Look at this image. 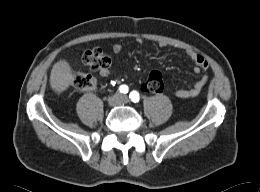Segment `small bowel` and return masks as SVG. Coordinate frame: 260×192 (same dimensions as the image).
<instances>
[{"label": "small bowel", "mask_w": 260, "mask_h": 192, "mask_svg": "<svg viewBox=\"0 0 260 192\" xmlns=\"http://www.w3.org/2000/svg\"><path fill=\"white\" fill-rule=\"evenodd\" d=\"M138 43L141 44L142 41L138 40ZM123 48L124 47L122 44L116 43L112 46V51L115 54H118L123 51ZM188 56L193 62V72L194 73L199 74L203 71H206L209 68L208 61L202 55L197 54L195 52H188ZM99 74L103 77H106V76H109L110 71L108 68H105V69L100 70ZM208 80H209L208 75H204L200 80L195 82L190 88L176 90L175 96L178 98H182V99L194 98L201 93L203 87L207 84ZM142 86H143V84H142Z\"/></svg>", "instance_id": "obj_1"}]
</instances>
